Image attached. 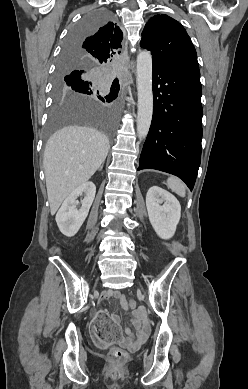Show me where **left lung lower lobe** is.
Here are the masks:
<instances>
[{"label":"left lung lower lobe","mask_w":248,"mask_h":389,"mask_svg":"<svg viewBox=\"0 0 248 389\" xmlns=\"http://www.w3.org/2000/svg\"><path fill=\"white\" fill-rule=\"evenodd\" d=\"M153 117L138 170L156 169L193 189L201 161L202 104L198 62L153 61Z\"/></svg>","instance_id":"0a47b994"}]
</instances>
